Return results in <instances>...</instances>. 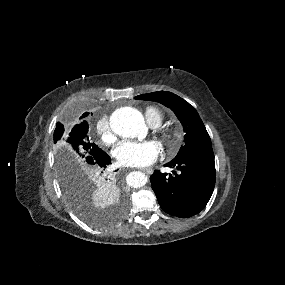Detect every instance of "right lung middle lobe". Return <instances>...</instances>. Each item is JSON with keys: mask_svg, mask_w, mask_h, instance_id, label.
<instances>
[{"mask_svg": "<svg viewBox=\"0 0 285 285\" xmlns=\"http://www.w3.org/2000/svg\"><path fill=\"white\" fill-rule=\"evenodd\" d=\"M88 114L86 112L82 117ZM54 141L59 142L57 172L69 206L82 220L95 227L111 225L92 204L97 185H104L105 175L97 161L105 152L89 138L87 122L83 121L66 132L58 122ZM118 219L119 216H115L112 221Z\"/></svg>", "mask_w": 285, "mask_h": 285, "instance_id": "right-lung-middle-lobe-1", "label": "right lung middle lobe"}]
</instances>
